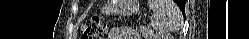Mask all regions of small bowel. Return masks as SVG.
Masks as SVG:
<instances>
[{
  "mask_svg": "<svg viewBox=\"0 0 249 39\" xmlns=\"http://www.w3.org/2000/svg\"><path fill=\"white\" fill-rule=\"evenodd\" d=\"M112 31L120 36H124V37H127V38H130V39H133L136 37V33L131 30V29H116V28H113Z\"/></svg>",
  "mask_w": 249,
  "mask_h": 39,
  "instance_id": "small-bowel-1",
  "label": "small bowel"
}]
</instances>
